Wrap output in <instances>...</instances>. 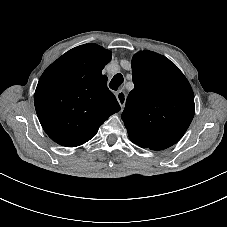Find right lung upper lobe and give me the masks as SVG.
<instances>
[{"label": "right lung upper lobe", "mask_w": 227, "mask_h": 227, "mask_svg": "<svg viewBox=\"0 0 227 227\" xmlns=\"http://www.w3.org/2000/svg\"><path fill=\"white\" fill-rule=\"evenodd\" d=\"M111 52L97 44L71 49L42 74L34 95L39 121L56 143L75 147L92 139L120 105L102 69Z\"/></svg>", "instance_id": "1"}]
</instances>
